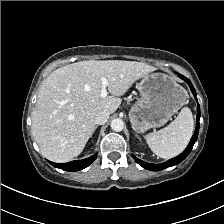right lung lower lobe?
Listing matches in <instances>:
<instances>
[{
  "label": "right lung lower lobe",
  "mask_w": 224,
  "mask_h": 224,
  "mask_svg": "<svg viewBox=\"0 0 224 224\" xmlns=\"http://www.w3.org/2000/svg\"><path fill=\"white\" fill-rule=\"evenodd\" d=\"M96 157H97V154H95L87 159H84V160L71 161V162L64 163V164L53 163L50 161H49V163L51 165H53L54 167H57V168H60V169L66 170V171L74 172V171L82 170V169L88 167L96 159Z\"/></svg>",
  "instance_id": "obj_1"
}]
</instances>
